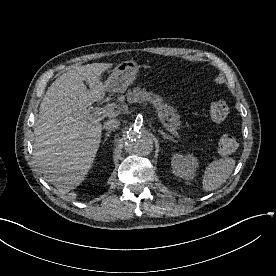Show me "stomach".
<instances>
[{
	"mask_svg": "<svg viewBox=\"0 0 276 276\" xmlns=\"http://www.w3.org/2000/svg\"><path fill=\"white\" fill-rule=\"evenodd\" d=\"M140 70V65L134 60L123 61L118 64L105 82L106 90L122 93L130 86Z\"/></svg>",
	"mask_w": 276,
	"mask_h": 276,
	"instance_id": "obj_1",
	"label": "stomach"
}]
</instances>
